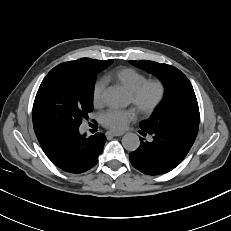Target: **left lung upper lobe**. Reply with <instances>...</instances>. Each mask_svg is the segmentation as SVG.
Returning a JSON list of instances; mask_svg holds the SVG:
<instances>
[{
	"label": "left lung upper lobe",
	"mask_w": 231,
	"mask_h": 231,
	"mask_svg": "<svg viewBox=\"0 0 231 231\" xmlns=\"http://www.w3.org/2000/svg\"><path fill=\"white\" fill-rule=\"evenodd\" d=\"M131 64L153 73L165 87L164 100L150 119L141 122L140 128L149 131H166L196 137L199 128V107L193 87L177 68L153 61H130Z\"/></svg>",
	"instance_id": "1"
}]
</instances>
